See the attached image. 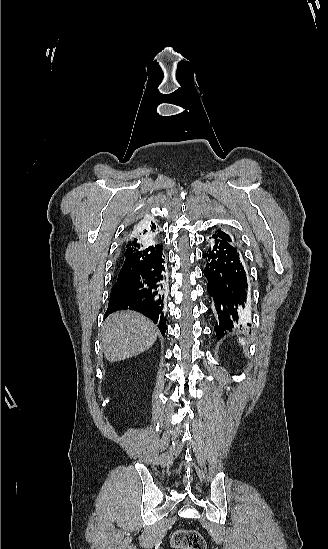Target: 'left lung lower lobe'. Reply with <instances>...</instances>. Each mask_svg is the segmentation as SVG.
<instances>
[{
	"label": "left lung lower lobe",
	"instance_id": "left-lung-lower-lobe-1",
	"mask_svg": "<svg viewBox=\"0 0 328 549\" xmlns=\"http://www.w3.org/2000/svg\"><path fill=\"white\" fill-rule=\"evenodd\" d=\"M209 241L210 247L203 253L207 261L204 275L208 281L207 291L213 299V309L218 315L214 329L220 339L232 330L234 324L248 318L249 289L237 247L216 235H212Z\"/></svg>",
	"mask_w": 328,
	"mask_h": 549
}]
</instances>
